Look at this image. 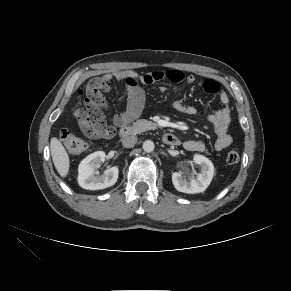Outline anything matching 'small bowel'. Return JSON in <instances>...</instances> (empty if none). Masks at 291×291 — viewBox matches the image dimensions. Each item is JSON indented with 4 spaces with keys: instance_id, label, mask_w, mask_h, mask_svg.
Returning a JSON list of instances; mask_svg holds the SVG:
<instances>
[{
    "instance_id": "c3829d8e",
    "label": "small bowel",
    "mask_w": 291,
    "mask_h": 291,
    "mask_svg": "<svg viewBox=\"0 0 291 291\" xmlns=\"http://www.w3.org/2000/svg\"><path fill=\"white\" fill-rule=\"evenodd\" d=\"M113 79L124 81L127 91L125 110L117 113L113 118V122L117 126L128 124L138 118L141 114L145 104V91L142 88V85H151L162 80L190 85L195 81L193 75H186L179 70L152 71L145 74H139L132 70H125L96 77L88 83V88L98 86L103 91H109ZM203 88L208 93L218 94L219 99L223 104V107L220 110L208 115V121L212 125L216 134L214 147L216 150L220 151L232 143V137L228 132L231 121L229 97L225 91L221 90L219 83L215 80H206L203 84ZM105 107L106 102H104L102 108ZM172 107L176 111L190 116L198 113L196 107L185 104L184 96L174 100ZM113 133V127L107 125L102 115L101 122L87 134L93 138H107L112 136ZM183 146L186 150L193 152L203 151L205 149L204 143L197 140H187L183 143Z\"/></svg>"
}]
</instances>
